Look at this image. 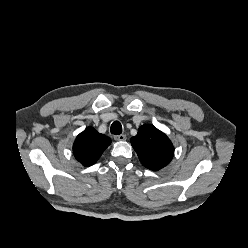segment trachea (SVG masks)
Returning <instances> with one entry per match:
<instances>
[{
	"label": "trachea",
	"instance_id": "trachea-1",
	"mask_svg": "<svg viewBox=\"0 0 248 248\" xmlns=\"http://www.w3.org/2000/svg\"><path fill=\"white\" fill-rule=\"evenodd\" d=\"M110 131L112 134L119 135L122 133V125L119 121H115L112 123Z\"/></svg>",
	"mask_w": 248,
	"mask_h": 248
}]
</instances>
